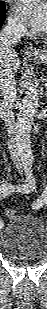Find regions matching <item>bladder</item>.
<instances>
[{
    "label": "bladder",
    "instance_id": "obj_1",
    "mask_svg": "<svg viewBox=\"0 0 47 309\" xmlns=\"http://www.w3.org/2000/svg\"><path fill=\"white\" fill-rule=\"evenodd\" d=\"M0 249L11 259L44 257L47 251L46 224L32 215H15L1 233Z\"/></svg>",
    "mask_w": 47,
    "mask_h": 309
}]
</instances>
